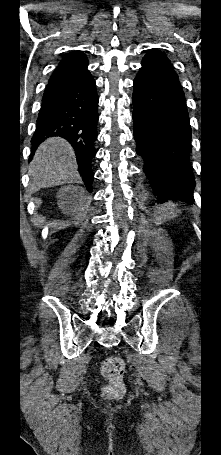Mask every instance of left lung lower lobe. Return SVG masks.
Segmentation results:
<instances>
[{
    "label": "left lung lower lobe",
    "instance_id": "0a47b994",
    "mask_svg": "<svg viewBox=\"0 0 221 455\" xmlns=\"http://www.w3.org/2000/svg\"><path fill=\"white\" fill-rule=\"evenodd\" d=\"M132 101L136 152L144 159L154 194L193 203L192 132L178 76L161 66L142 65Z\"/></svg>",
    "mask_w": 221,
    "mask_h": 455
}]
</instances>
